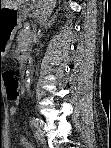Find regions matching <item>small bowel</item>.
I'll return each mask as SVG.
<instances>
[{
  "mask_svg": "<svg viewBox=\"0 0 111 148\" xmlns=\"http://www.w3.org/2000/svg\"><path fill=\"white\" fill-rule=\"evenodd\" d=\"M15 112H16V111H15V108H14V107H11V108L9 109V113H10L11 116H13V115L15 114ZM21 144H22V146L25 147V148H32V145H31L24 137L21 138ZM5 147L8 148L9 145L6 144Z\"/></svg>",
  "mask_w": 111,
  "mask_h": 148,
  "instance_id": "small-bowel-1",
  "label": "small bowel"
}]
</instances>
